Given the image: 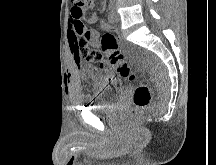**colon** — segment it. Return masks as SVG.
Listing matches in <instances>:
<instances>
[{"label": "colon", "mask_w": 216, "mask_h": 165, "mask_svg": "<svg viewBox=\"0 0 216 165\" xmlns=\"http://www.w3.org/2000/svg\"><path fill=\"white\" fill-rule=\"evenodd\" d=\"M73 8H86L92 4V0H71ZM77 47L80 54L81 70L87 76H95L98 70L112 67L124 79L136 82L133 93L134 109L133 118L140 116L151 103V89L144 83L137 80V76L119 50L118 39L112 33H104L101 38L100 50L91 49L86 38L77 40ZM106 60V61H105Z\"/></svg>", "instance_id": "5ec220e1"}]
</instances>
